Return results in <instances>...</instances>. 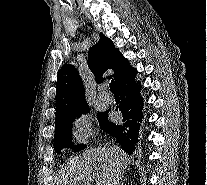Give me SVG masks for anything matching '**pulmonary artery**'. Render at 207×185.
Segmentation results:
<instances>
[{"instance_id": "obj_1", "label": "pulmonary artery", "mask_w": 207, "mask_h": 185, "mask_svg": "<svg viewBox=\"0 0 207 185\" xmlns=\"http://www.w3.org/2000/svg\"><path fill=\"white\" fill-rule=\"evenodd\" d=\"M99 99L106 104H111L114 101L112 94L107 91H101L99 93Z\"/></svg>"}]
</instances>
